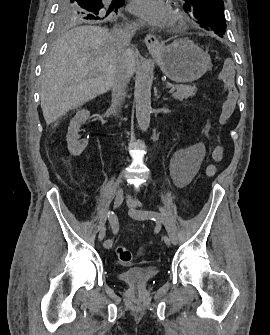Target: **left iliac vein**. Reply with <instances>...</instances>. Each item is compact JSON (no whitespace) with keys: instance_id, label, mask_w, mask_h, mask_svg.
Segmentation results:
<instances>
[{"instance_id":"obj_1","label":"left iliac vein","mask_w":270,"mask_h":335,"mask_svg":"<svg viewBox=\"0 0 270 335\" xmlns=\"http://www.w3.org/2000/svg\"><path fill=\"white\" fill-rule=\"evenodd\" d=\"M127 204H128V207H129V215L135 219H138V220H145L147 219V217L145 216H141L138 214V209H137V202L135 199H133L131 196H127ZM163 240H164V243L167 245V246H170L171 245V240L166 236L164 235L163 236Z\"/></svg>"}]
</instances>
